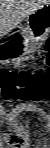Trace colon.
<instances>
[{
	"label": "colon",
	"mask_w": 50,
	"mask_h": 148,
	"mask_svg": "<svg viewBox=\"0 0 50 148\" xmlns=\"http://www.w3.org/2000/svg\"><path fill=\"white\" fill-rule=\"evenodd\" d=\"M50 50V43H46ZM46 64L50 63V56L44 58ZM2 95L6 99L20 101H43L50 96V71H13L0 72Z\"/></svg>",
	"instance_id": "obj_1"
}]
</instances>
